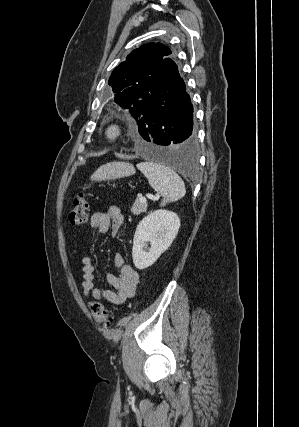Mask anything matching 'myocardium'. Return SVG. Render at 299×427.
<instances>
[{
  "mask_svg": "<svg viewBox=\"0 0 299 427\" xmlns=\"http://www.w3.org/2000/svg\"><path fill=\"white\" fill-rule=\"evenodd\" d=\"M125 133L124 124L118 120L107 121L102 128V136L108 143L119 141Z\"/></svg>",
  "mask_w": 299,
  "mask_h": 427,
  "instance_id": "obj_1",
  "label": "myocardium"
}]
</instances>
